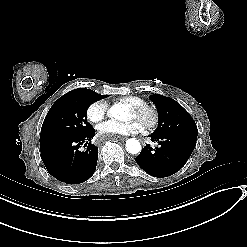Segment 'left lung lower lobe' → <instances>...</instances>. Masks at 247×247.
Here are the masks:
<instances>
[{
	"label": "left lung lower lobe",
	"mask_w": 247,
	"mask_h": 247,
	"mask_svg": "<svg viewBox=\"0 0 247 247\" xmlns=\"http://www.w3.org/2000/svg\"><path fill=\"white\" fill-rule=\"evenodd\" d=\"M159 147L147 144L135 158L137 164L154 177H167L179 171L193 152L196 140L186 136L151 135Z\"/></svg>",
	"instance_id": "left-lung-lower-lobe-1"
}]
</instances>
